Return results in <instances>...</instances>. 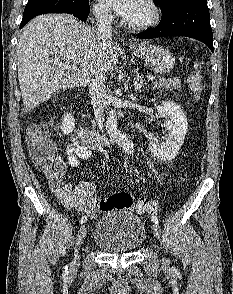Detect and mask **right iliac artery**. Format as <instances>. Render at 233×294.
Here are the masks:
<instances>
[{
  "label": "right iliac artery",
  "mask_w": 233,
  "mask_h": 294,
  "mask_svg": "<svg viewBox=\"0 0 233 294\" xmlns=\"http://www.w3.org/2000/svg\"><path fill=\"white\" fill-rule=\"evenodd\" d=\"M87 221V217L83 216L80 220V224L85 223ZM68 274V266L65 267V275Z\"/></svg>",
  "instance_id": "right-iliac-artery-1"
}]
</instances>
